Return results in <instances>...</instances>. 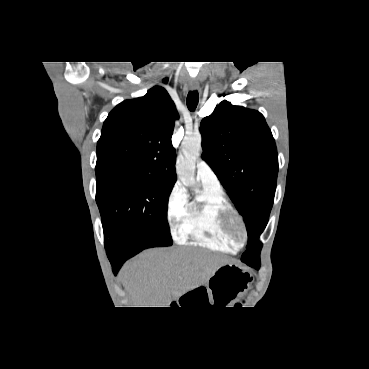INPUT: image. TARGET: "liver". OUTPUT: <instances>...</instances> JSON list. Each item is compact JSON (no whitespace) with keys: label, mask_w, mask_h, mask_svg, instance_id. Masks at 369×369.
I'll return each instance as SVG.
<instances>
[{"label":"liver","mask_w":369,"mask_h":369,"mask_svg":"<svg viewBox=\"0 0 369 369\" xmlns=\"http://www.w3.org/2000/svg\"><path fill=\"white\" fill-rule=\"evenodd\" d=\"M226 262L224 256L198 248H155L127 262L121 279L135 307H169Z\"/></svg>","instance_id":"6515ba94"}]
</instances>
